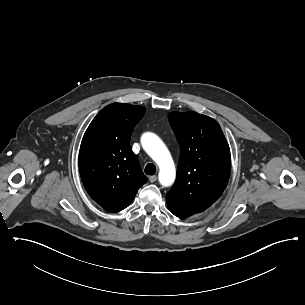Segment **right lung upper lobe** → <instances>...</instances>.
<instances>
[{"instance_id":"1","label":"right lung upper lobe","mask_w":305,"mask_h":305,"mask_svg":"<svg viewBox=\"0 0 305 305\" xmlns=\"http://www.w3.org/2000/svg\"><path fill=\"white\" fill-rule=\"evenodd\" d=\"M145 107L113 103L87 128L79 152V171L89 195L105 210L118 212L147 181L129 145Z\"/></svg>"}]
</instances>
